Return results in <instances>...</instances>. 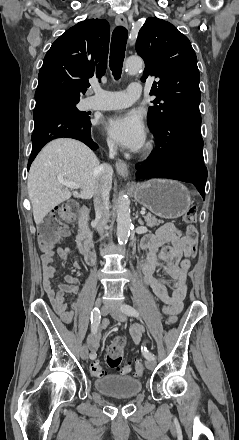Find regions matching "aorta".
Instances as JSON below:
<instances>
[{
  "instance_id": "1",
  "label": "aorta",
  "mask_w": 239,
  "mask_h": 440,
  "mask_svg": "<svg viewBox=\"0 0 239 440\" xmlns=\"http://www.w3.org/2000/svg\"><path fill=\"white\" fill-rule=\"evenodd\" d=\"M125 66L126 70H128V74H136V72L142 70L144 62L141 58L132 56V58H128ZM130 226L131 216L129 202L123 192H120L117 206V240L121 246L127 242Z\"/></svg>"
}]
</instances>
